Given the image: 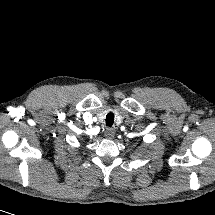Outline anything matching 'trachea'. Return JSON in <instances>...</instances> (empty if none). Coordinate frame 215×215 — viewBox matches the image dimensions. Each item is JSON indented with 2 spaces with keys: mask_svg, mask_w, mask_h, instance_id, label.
Segmentation results:
<instances>
[{
  "mask_svg": "<svg viewBox=\"0 0 215 215\" xmlns=\"http://www.w3.org/2000/svg\"><path fill=\"white\" fill-rule=\"evenodd\" d=\"M114 123V114L113 113H108L106 116V125L111 127Z\"/></svg>",
  "mask_w": 215,
  "mask_h": 215,
  "instance_id": "trachea-1",
  "label": "trachea"
}]
</instances>
